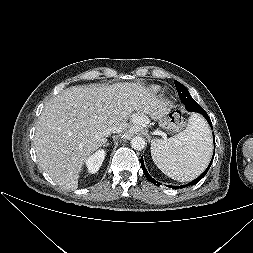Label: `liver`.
I'll list each match as a JSON object with an SVG mask.
<instances>
[{"label": "liver", "instance_id": "1", "mask_svg": "<svg viewBox=\"0 0 253 253\" xmlns=\"http://www.w3.org/2000/svg\"><path fill=\"white\" fill-rule=\"evenodd\" d=\"M169 110L168 102L139 83L72 86L52 97L39 117L37 161L59 186L76 190L83 164L103 145L107 129L122 132L129 119L140 129L149 123L146 115L156 120Z\"/></svg>", "mask_w": 253, "mask_h": 253}]
</instances>
